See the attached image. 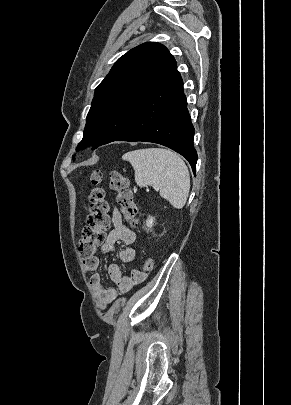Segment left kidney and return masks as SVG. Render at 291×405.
<instances>
[{
	"mask_svg": "<svg viewBox=\"0 0 291 405\" xmlns=\"http://www.w3.org/2000/svg\"><path fill=\"white\" fill-rule=\"evenodd\" d=\"M154 220H155V218L152 217V216H149V217L147 218V220H146V226H147L148 230H149L150 228H152V226H153V224H154Z\"/></svg>",
	"mask_w": 291,
	"mask_h": 405,
	"instance_id": "obj_1",
	"label": "left kidney"
}]
</instances>
